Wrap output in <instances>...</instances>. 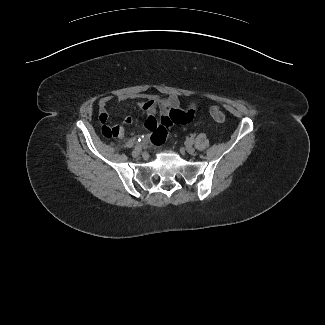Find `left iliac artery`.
<instances>
[{"label":"left iliac artery","instance_id":"obj_1","mask_svg":"<svg viewBox=\"0 0 325 325\" xmlns=\"http://www.w3.org/2000/svg\"><path fill=\"white\" fill-rule=\"evenodd\" d=\"M188 141H189V143H191V144L194 143V139H193V138H190Z\"/></svg>","mask_w":325,"mask_h":325}]
</instances>
